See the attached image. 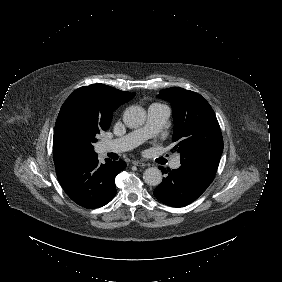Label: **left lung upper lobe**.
<instances>
[{"mask_svg":"<svg viewBox=\"0 0 282 282\" xmlns=\"http://www.w3.org/2000/svg\"><path fill=\"white\" fill-rule=\"evenodd\" d=\"M159 98L168 100L173 109L176 150L181 159L197 153L221 155L223 138L215 113L198 93L180 87L161 90Z\"/></svg>","mask_w":282,"mask_h":282,"instance_id":"1","label":"left lung upper lobe"}]
</instances>
